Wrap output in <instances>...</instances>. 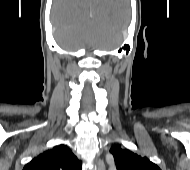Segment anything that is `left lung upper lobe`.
I'll list each match as a JSON object with an SVG mask.
<instances>
[{
    "label": "left lung upper lobe",
    "mask_w": 190,
    "mask_h": 170,
    "mask_svg": "<svg viewBox=\"0 0 190 170\" xmlns=\"http://www.w3.org/2000/svg\"><path fill=\"white\" fill-rule=\"evenodd\" d=\"M110 152L114 156L117 170H160L147 157H141L120 146H113Z\"/></svg>",
    "instance_id": "1"
}]
</instances>
